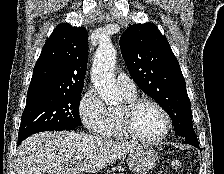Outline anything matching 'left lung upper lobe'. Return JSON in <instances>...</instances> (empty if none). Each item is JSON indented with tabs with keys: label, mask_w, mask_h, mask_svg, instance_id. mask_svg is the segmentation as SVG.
Listing matches in <instances>:
<instances>
[{
	"label": "left lung upper lobe",
	"mask_w": 224,
	"mask_h": 174,
	"mask_svg": "<svg viewBox=\"0 0 224 174\" xmlns=\"http://www.w3.org/2000/svg\"><path fill=\"white\" fill-rule=\"evenodd\" d=\"M120 48L133 81L169 114L176 134L198 147L185 80L165 36L153 23L135 24Z\"/></svg>",
	"instance_id": "left-lung-upper-lobe-1"
}]
</instances>
